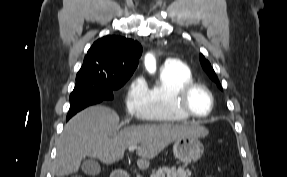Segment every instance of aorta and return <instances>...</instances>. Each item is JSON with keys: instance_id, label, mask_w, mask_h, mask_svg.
Returning a JSON list of instances; mask_svg holds the SVG:
<instances>
[{"instance_id": "obj_1", "label": "aorta", "mask_w": 287, "mask_h": 177, "mask_svg": "<svg viewBox=\"0 0 287 177\" xmlns=\"http://www.w3.org/2000/svg\"><path fill=\"white\" fill-rule=\"evenodd\" d=\"M145 67L150 73H154L156 70V61L152 54H147L145 56Z\"/></svg>"}]
</instances>
